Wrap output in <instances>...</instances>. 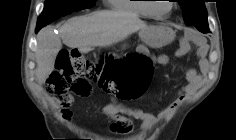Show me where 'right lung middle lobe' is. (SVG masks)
<instances>
[{
  "instance_id": "1",
  "label": "right lung middle lobe",
  "mask_w": 236,
  "mask_h": 140,
  "mask_svg": "<svg viewBox=\"0 0 236 140\" xmlns=\"http://www.w3.org/2000/svg\"><path fill=\"white\" fill-rule=\"evenodd\" d=\"M95 5V0H46L44 10L38 18L37 27L42 28L62 16Z\"/></svg>"
}]
</instances>
